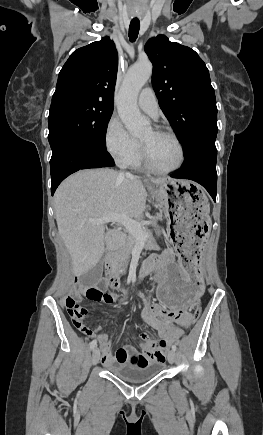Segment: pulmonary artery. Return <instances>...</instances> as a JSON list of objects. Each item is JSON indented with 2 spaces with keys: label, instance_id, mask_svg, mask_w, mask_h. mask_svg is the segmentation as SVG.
<instances>
[{
  "label": "pulmonary artery",
  "instance_id": "pulmonary-artery-1",
  "mask_svg": "<svg viewBox=\"0 0 263 435\" xmlns=\"http://www.w3.org/2000/svg\"><path fill=\"white\" fill-rule=\"evenodd\" d=\"M138 106L143 112L154 118L159 115L158 102L153 90L150 87H146L141 91L138 98Z\"/></svg>",
  "mask_w": 263,
  "mask_h": 435
}]
</instances>
